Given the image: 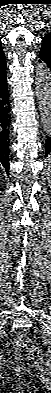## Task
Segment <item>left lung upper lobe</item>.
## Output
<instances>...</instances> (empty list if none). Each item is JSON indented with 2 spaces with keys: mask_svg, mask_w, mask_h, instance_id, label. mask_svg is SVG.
<instances>
[{
  "mask_svg": "<svg viewBox=\"0 0 51 393\" xmlns=\"http://www.w3.org/2000/svg\"><path fill=\"white\" fill-rule=\"evenodd\" d=\"M42 39V47L40 52L47 54L51 58V32L47 33Z\"/></svg>",
  "mask_w": 51,
  "mask_h": 393,
  "instance_id": "obj_1",
  "label": "left lung upper lobe"
}]
</instances>
